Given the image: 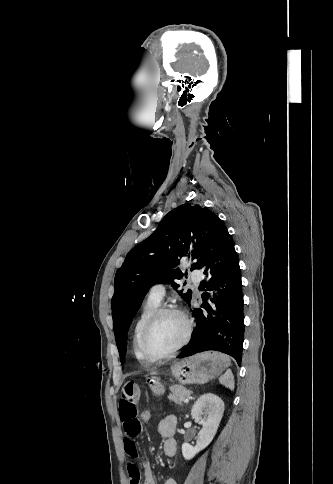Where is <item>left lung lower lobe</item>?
I'll return each instance as SVG.
<instances>
[{"mask_svg": "<svg viewBox=\"0 0 333 484\" xmlns=\"http://www.w3.org/2000/svg\"><path fill=\"white\" fill-rule=\"evenodd\" d=\"M195 269H202L208 277L200 287L204 291L203 309L192 311L196 327L178 358L217 350L240 365L244 340L240 268L233 240L218 217L211 223Z\"/></svg>", "mask_w": 333, "mask_h": 484, "instance_id": "left-lung-lower-lobe-1", "label": "left lung lower lobe"}]
</instances>
